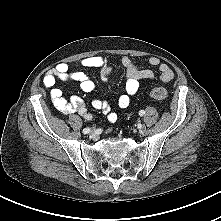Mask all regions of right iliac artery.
Instances as JSON below:
<instances>
[{
  "instance_id": "82829eb1",
  "label": "right iliac artery",
  "mask_w": 221,
  "mask_h": 221,
  "mask_svg": "<svg viewBox=\"0 0 221 221\" xmlns=\"http://www.w3.org/2000/svg\"><path fill=\"white\" fill-rule=\"evenodd\" d=\"M89 132H90V128L87 127V128H84V129H83V133H84V134H87V133H89Z\"/></svg>"
}]
</instances>
